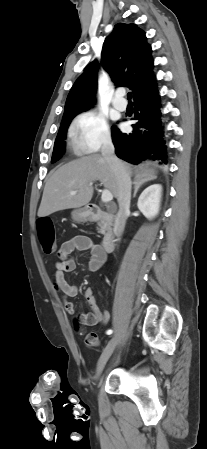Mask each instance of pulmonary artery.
I'll use <instances>...</instances> for the list:
<instances>
[{"label": "pulmonary artery", "mask_w": 207, "mask_h": 449, "mask_svg": "<svg viewBox=\"0 0 207 449\" xmlns=\"http://www.w3.org/2000/svg\"><path fill=\"white\" fill-rule=\"evenodd\" d=\"M123 96L124 93L122 91H118L112 100L113 106L120 111H124L127 107V103Z\"/></svg>", "instance_id": "pulmonary-artery-1"}]
</instances>
